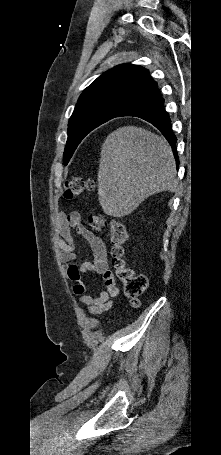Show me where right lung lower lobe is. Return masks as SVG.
Listing matches in <instances>:
<instances>
[{"instance_id":"1","label":"right lung lower lobe","mask_w":221,"mask_h":455,"mask_svg":"<svg viewBox=\"0 0 221 455\" xmlns=\"http://www.w3.org/2000/svg\"><path fill=\"white\" fill-rule=\"evenodd\" d=\"M121 116L140 117L158 128L171 145L176 163L179 164L175 147L177 138L171 129V120L164 110V99L157 87L147 97L125 109L118 117Z\"/></svg>"}]
</instances>
